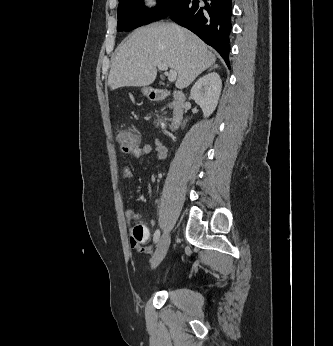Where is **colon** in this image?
Wrapping results in <instances>:
<instances>
[{
  "instance_id": "obj_1",
  "label": "colon",
  "mask_w": 333,
  "mask_h": 346,
  "mask_svg": "<svg viewBox=\"0 0 333 346\" xmlns=\"http://www.w3.org/2000/svg\"><path fill=\"white\" fill-rule=\"evenodd\" d=\"M116 138L123 152H133L140 146L139 135L131 129H119L117 131ZM151 232V226H143L141 224H136L132 229L131 235H138L139 239L141 240V243H143L146 240V238H150Z\"/></svg>"
}]
</instances>
